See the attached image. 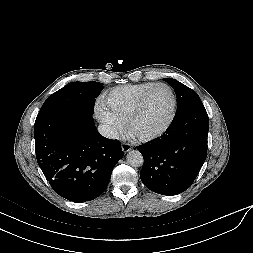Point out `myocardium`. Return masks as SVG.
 Here are the masks:
<instances>
[{"label": "myocardium", "instance_id": "f54148a6", "mask_svg": "<svg viewBox=\"0 0 253 253\" xmlns=\"http://www.w3.org/2000/svg\"><path fill=\"white\" fill-rule=\"evenodd\" d=\"M166 87L172 96V101H173V105H172V113L171 116L169 118V120L167 121V123L159 130L154 131V132H150V133H136L133 131V124L135 123V121L137 120L138 116L140 115L142 108L145 104L146 98L149 95V93L157 88V87ZM177 110H178V101H177V96L175 94V91L173 90V88L167 84V83H154L151 86H149L139 97L132 113L130 114V116L127 119L126 125H127V130L128 132L135 137L138 140L141 141H151L154 139H157L161 136H163L172 126L173 122L175 121L176 115H177Z\"/></svg>", "mask_w": 253, "mask_h": 253}]
</instances>
